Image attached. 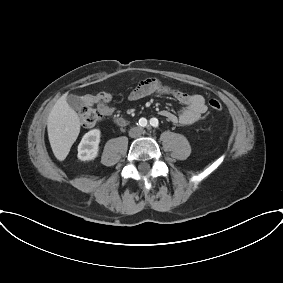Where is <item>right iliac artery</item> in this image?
Listing matches in <instances>:
<instances>
[{
	"label": "right iliac artery",
	"instance_id": "82829eb1",
	"mask_svg": "<svg viewBox=\"0 0 283 283\" xmlns=\"http://www.w3.org/2000/svg\"><path fill=\"white\" fill-rule=\"evenodd\" d=\"M139 125L145 127L147 125V120L145 118H141L139 120Z\"/></svg>",
	"mask_w": 283,
	"mask_h": 283
}]
</instances>
